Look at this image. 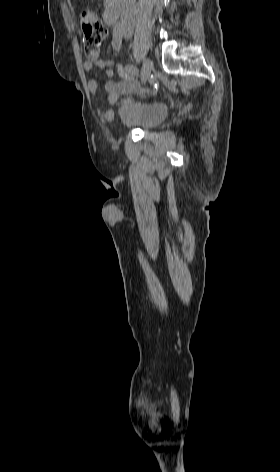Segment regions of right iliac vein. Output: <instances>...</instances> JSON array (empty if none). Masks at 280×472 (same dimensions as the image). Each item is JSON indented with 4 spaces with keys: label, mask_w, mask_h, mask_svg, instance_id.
<instances>
[{
    "label": "right iliac vein",
    "mask_w": 280,
    "mask_h": 472,
    "mask_svg": "<svg viewBox=\"0 0 280 472\" xmlns=\"http://www.w3.org/2000/svg\"><path fill=\"white\" fill-rule=\"evenodd\" d=\"M153 69V64L149 59H145L143 62V67L141 70V82L146 83L148 80L151 70Z\"/></svg>",
    "instance_id": "right-iliac-vein-1"
}]
</instances>
